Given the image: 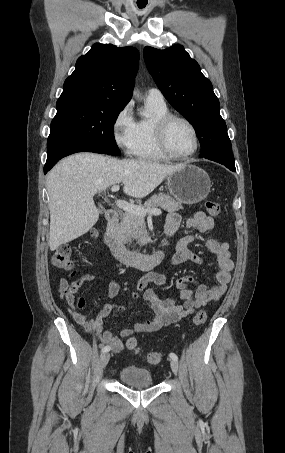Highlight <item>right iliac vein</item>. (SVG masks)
<instances>
[{"label":"right iliac vein","mask_w":285,"mask_h":453,"mask_svg":"<svg viewBox=\"0 0 285 453\" xmlns=\"http://www.w3.org/2000/svg\"><path fill=\"white\" fill-rule=\"evenodd\" d=\"M110 359V354L108 352H103L100 356V366L105 368Z\"/></svg>","instance_id":"63e3f726"}]
</instances>
